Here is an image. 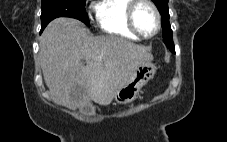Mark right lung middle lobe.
I'll list each match as a JSON object with an SVG mask.
<instances>
[{"mask_svg":"<svg viewBox=\"0 0 227 142\" xmlns=\"http://www.w3.org/2000/svg\"><path fill=\"white\" fill-rule=\"evenodd\" d=\"M86 0H42L41 31L57 17H70L89 24Z\"/></svg>","mask_w":227,"mask_h":142,"instance_id":"right-lung-middle-lobe-1","label":"right lung middle lobe"}]
</instances>
